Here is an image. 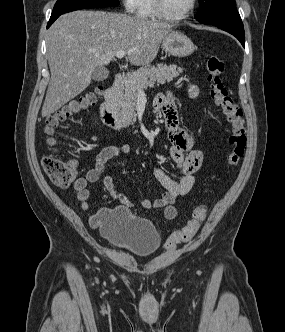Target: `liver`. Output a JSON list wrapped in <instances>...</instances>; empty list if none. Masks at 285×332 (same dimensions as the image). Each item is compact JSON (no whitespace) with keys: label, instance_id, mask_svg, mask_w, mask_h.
<instances>
[{"label":"liver","instance_id":"1","mask_svg":"<svg viewBox=\"0 0 285 332\" xmlns=\"http://www.w3.org/2000/svg\"><path fill=\"white\" fill-rule=\"evenodd\" d=\"M171 25L119 13L79 10L50 27L47 57L51 72L42 117L50 116L83 92L96 67L108 65L120 50L137 66L151 63Z\"/></svg>","mask_w":285,"mask_h":332}]
</instances>
